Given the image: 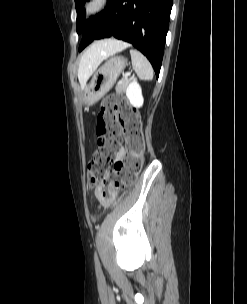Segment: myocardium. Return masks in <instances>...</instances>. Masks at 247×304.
Segmentation results:
<instances>
[{
	"instance_id": "obj_1",
	"label": "myocardium",
	"mask_w": 247,
	"mask_h": 304,
	"mask_svg": "<svg viewBox=\"0 0 247 304\" xmlns=\"http://www.w3.org/2000/svg\"><path fill=\"white\" fill-rule=\"evenodd\" d=\"M109 0H88L84 5L86 19H92L100 15L108 6Z\"/></svg>"
}]
</instances>
